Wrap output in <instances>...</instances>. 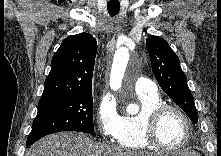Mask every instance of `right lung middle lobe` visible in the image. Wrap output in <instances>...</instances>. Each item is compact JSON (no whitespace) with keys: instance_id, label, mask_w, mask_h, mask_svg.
<instances>
[{"instance_id":"right-lung-middle-lobe-1","label":"right lung middle lobe","mask_w":221,"mask_h":156,"mask_svg":"<svg viewBox=\"0 0 221 156\" xmlns=\"http://www.w3.org/2000/svg\"><path fill=\"white\" fill-rule=\"evenodd\" d=\"M92 90L66 96L41 98L27 146L60 131L93 133Z\"/></svg>"}]
</instances>
